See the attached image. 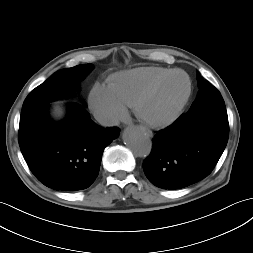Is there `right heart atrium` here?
Listing matches in <instances>:
<instances>
[{"mask_svg": "<svg viewBox=\"0 0 253 253\" xmlns=\"http://www.w3.org/2000/svg\"><path fill=\"white\" fill-rule=\"evenodd\" d=\"M89 104L96 117L106 123L113 124L124 119L126 106L116 97L109 86L96 83L89 94Z\"/></svg>", "mask_w": 253, "mask_h": 253, "instance_id": "d8ad5b80", "label": "right heart atrium"}]
</instances>
